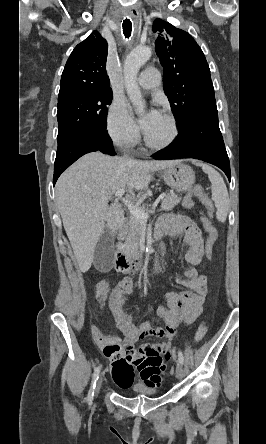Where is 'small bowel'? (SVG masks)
<instances>
[{
	"label": "small bowel",
	"mask_w": 266,
	"mask_h": 444,
	"mask_svg": "<svg viewBox=\"0 0 266 444\" xmlns=\"http://www.w3.org/2000/svg\"><path fill=\"white\" fill-rule=\"evenodd\" d=\"M160 233L172 238L183 237L188 245L184 256L188 267L182 271L186 278L176 279L185 291L170 292L167 295V307L161 306L155 313L165 326L156 327L150 321L138 324L135 322L133 315L125 310V304L132 293V283L127 281L129 288L119 303L110 307L115 325L125 339L121 341L104 333L96 325L91 327L94 342L111 361L113 381L121 388H129L133 384L135 372L139 374L145 387L154 388L161 384L165 363L175 355L170 341L180 325H189L198 318L207 292V278L196 268L202 263L204 248L200 230L194 221L183 215H166L162 220ZM108 292V282L102 281L97 285L95 298L100 309L105 305ZM148 336L164 341L136 349L135 344Z\"/></svg>",
	"instance_id": "c3829d8e"
}]
</instances>
